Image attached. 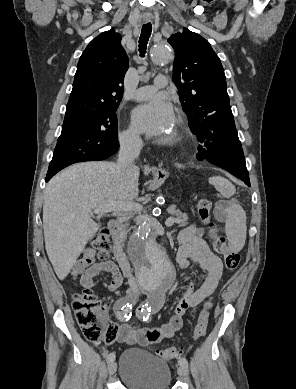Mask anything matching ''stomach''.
Returning <instances> with one entry per match:
<instances>
[{
    "label": "stomach",
    "mask_w": 296,
    "mask_h": 389,
    "mask_svg": "<svg viewBox=\"0 0 296 389\" xmlns=\"http://www.w3.org/2000/svg\"><path fill=\"white\" fill-rule=\"evenodd\" d=\"M168 171L165 168H155L152 171V186H164L167 183Z\"/></svg>",
    "instance_id": "stomach-1"
}]
</instances>
